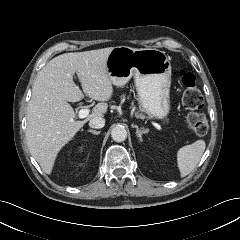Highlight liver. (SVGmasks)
<instances>
[{"label": "liver", "instance_id": "6515ba94", "mask_svg": "<svg viewBox=\"0 0 240 240\" xmlns=\"http://www.w3.org/2000/svg\"><path fill=\"white\" fill-rule=\"evenodd\" d=\"M113 47L65 53L50 60L38 73L27 107L26 139L31 155L46 174H51L59 151L83 127L87 120L103 116L113 94L106 60ZM77 74L83 92L100 101L86 120H75L68 102H77L84 94L73 81Z\"/></svg>", "mask_w": 240, "mask_h": 240}]
</instances>
